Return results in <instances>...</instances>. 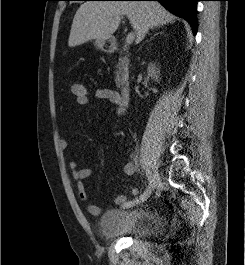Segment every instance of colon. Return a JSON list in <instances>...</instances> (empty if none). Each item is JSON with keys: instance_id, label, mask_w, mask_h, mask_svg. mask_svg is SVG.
<instances>
[{"instance_id": "5ec220e1", "label": "colon", "mask_w": 245, "mask_h": 265, "mask_svg": "<svg viewBox=\"0 0 245 265\" xmlns=\"http://www.w3.org/2000/svg\"><path fill=\"white\" fill-rule=\"evenodd\" d=\"M75 101L80 106H86L90 101L88 87L83 83H75L71 88Z\"/></svg>"}]
</instances>
